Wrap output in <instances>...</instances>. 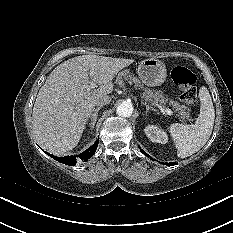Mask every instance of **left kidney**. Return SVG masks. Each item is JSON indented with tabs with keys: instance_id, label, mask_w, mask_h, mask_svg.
Returning <instances> with one entry per match:
<instances>
[{
	"instance_id": "left-kidney-1",
	"label": "left kidney",
	"mask_w": 233,
	"mask_h": 233,
	"mask_svg": "<svg viewBox=\"0 0 233 233\" xmlns=\"http://www.w3.org/2000/svg\"><path fill=\"white\" fill-rule=\"evenodd\" d=\"M147 137L156 143L166 144L168 142V136L164 130L160 129L156 125H148L144 129Z\"/></svg>"
}]
</instances>
